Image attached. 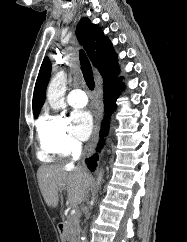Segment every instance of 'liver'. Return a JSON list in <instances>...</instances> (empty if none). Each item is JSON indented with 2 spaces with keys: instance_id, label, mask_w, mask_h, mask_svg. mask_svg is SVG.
I'll use <instances>...</instances> for the list:
<instances>
[{
  "instance_id": "liver-1",
  "label": "liver",
  "mask_w": 187,
  "mask_h": 242,
  "mask_svg": "<svg viewBox=\"0 0 187 242\" xmlns=\"http://www.w3.org/2000/svg\"><path fill=\"white\" fill-rule=\"evenodd\" d=\"M38 182L47 205L55 208L59 192L67 191V203L76 207L84 201L92 183L91 175L82 167L73 165H44L38 169Z\"/></svg>"
}]
</instances>
